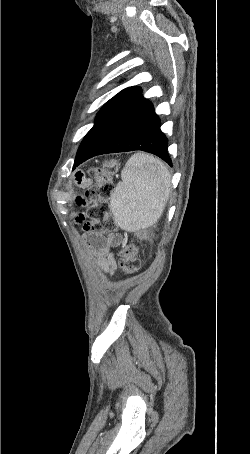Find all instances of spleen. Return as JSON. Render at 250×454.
<instances>
[{
	"mask_svg": "<svg viewBox=\"0 0 250 454\" xmlns=\"http://www.w3.org/2000/svg\"><path fill=\"white\" fill-rule=\"evenodd\" d=\"M110 197L116 225L136 232L155 224L161 217L171 188V176L159 159L135 153L125 164Z\"/></svg>",
	"mask_w": 250,
	"mask_h": 454,
	"instance_id": "3e777b00",
	"label": "spleen"
}]
</instances>
